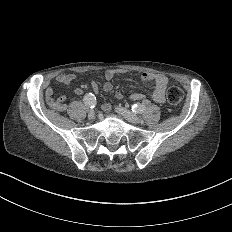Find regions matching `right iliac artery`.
<instances>
[{
  "mask_svg": "<svg viewBox=\"0 0 232 232\" xmlns=\"http://www.w3.org/2000/svg\"><path fill=\"white\" fill-rule=\"evenodd\" d=\"M83 102L86 106L94 108L97 105V98L93 93L90 92L85 94Z\"/></svg>",
  "mask_w": 232,
  "mask_h": 232,
  "instance_id": "right-iliac-artery-1",
  "label": "right iliac artery"
}]
</instances>
